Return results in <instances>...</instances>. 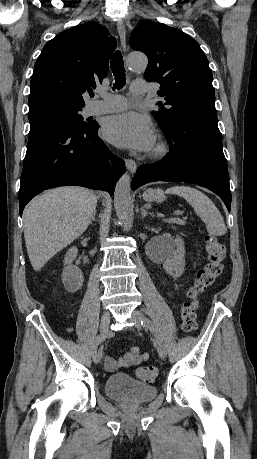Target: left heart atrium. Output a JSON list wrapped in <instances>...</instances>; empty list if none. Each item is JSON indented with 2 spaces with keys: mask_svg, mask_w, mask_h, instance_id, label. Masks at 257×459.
Instances as JSON below:
<instances>
[{
  "mask_svg": "<svg viewBox=\"0 0 257 459\" xmlns=\"http://www.w3.org/2000/svg\"><path fill=\"white\" fill-rule=\"evenodd\" d=\"M106 139L123 148L148 151L155 144L150 119L135 112H125L109 118L104 126Z\"/></svg>",
  "mask_w": 257,
  "mask_h": 459,
  "instance_id": "39dd6f15",
  "label": "left heart atrium"
}]
</instances>
